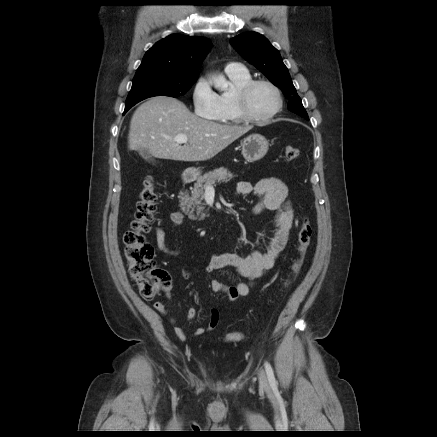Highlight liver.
Listing matches in <instances>:
<instances>
[{
	"instance_id": "1",
	"label": "liver",
	"mask_w": 437,
	"mask_h": 437,
	"mask_svg": "<svg viewBox=\"0 0 437 437\" xmlns=\"http://www.w3.org/2000/svg\"><path fill=\"white\" fill-rule=\"evenodd\" d=\"M251 129V126L219 124L199 118L179 100L158 96L135 110L128 144L130 150L147 149L156 158L206 161ZM179 134L187 136V144L181 146L174 141Z\"/></svg>"
}]
</instances>
